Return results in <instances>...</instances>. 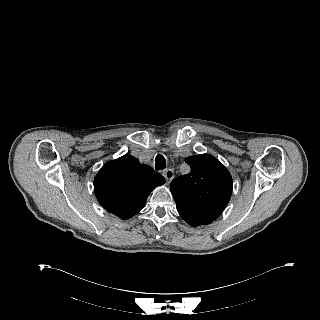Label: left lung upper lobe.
Masks as SVG:
<instances>
[{
    "label": "left lung upper lobe",
    "mask_w": 320,
    "mask_h": 320,
    "mask_svg": "<svg viewBox=\"0 0 320 320\" xmlns=\"http://www.w3.org/2000/svg\"><path fill=\"white\" fill-rule=\"evenodd\" d=\"M186 162L191 167L190 173L174 179L170 186L176 204L218 217L231 197L230 173L209 154L188 157Z\"/></svg>",
    "instance_id": "1"
}]
</instances>
